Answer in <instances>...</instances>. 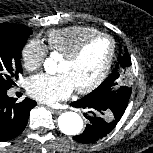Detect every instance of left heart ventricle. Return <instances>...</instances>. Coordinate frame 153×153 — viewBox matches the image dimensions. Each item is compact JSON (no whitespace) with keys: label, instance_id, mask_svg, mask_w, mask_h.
Instances as JSON below:
<instances>
[{"label":"left heart ventricle","instance_id":"left-heart-ventricle-1","mask_svg":"<svg viewBox=\"0 0 153 153\" xmlns=\"http://www.w3.org/2000/svg\"><path fill=\"white\" fill-rule=\"evenodd\" d=\"M109 53V40L99 38L91 42L75 61L68 62L62 58L58 72L67 75L74 88L85 87L101 73Z\"/></svg>","mask_w":153,"mask_h":153}]
</instances>
